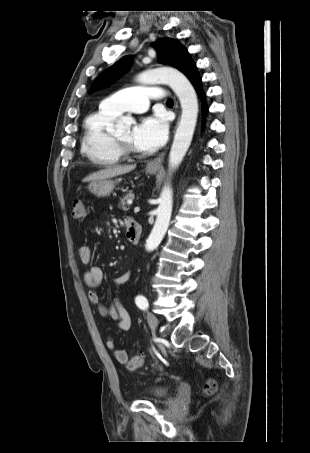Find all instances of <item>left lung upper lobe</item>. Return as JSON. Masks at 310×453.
<instances>
[{
    "label": "left lung upper lobe",
    "instance_id": "obj_1",
    "mask_svg": "<svg viewBox=\"0 0 310 453\" xmlns=\"http://www.w3.org/2000/svg\"><path fill=\"white\" fill-rule=\"evenodd\" d=\"M158 54V61L162 64H168L181 70L183 64L189 59L186 49L173 39H159L153 44ZM130 65L128 56L117 61L113 66L106 69L95 81L92 89L111 83L113 80L123 74Z\"/></svg>",
    "mask_w": 310,
    "mask_h": 453
}]
</instances>
